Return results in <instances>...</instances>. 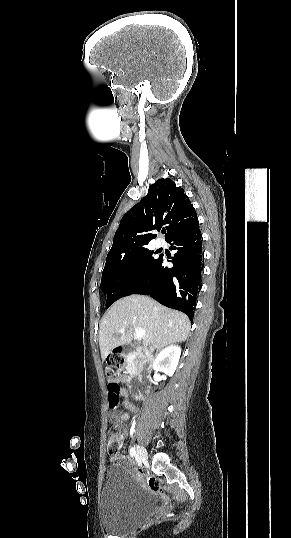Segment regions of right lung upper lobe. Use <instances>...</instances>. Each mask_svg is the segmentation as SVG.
<instances>
[{
	"mask_svg": "<svg viewBox=\"0 0 291 538\" xmlns=\"http://www.w3.org/2000/svg\"><path fill=\"white\" fill-rule=\"evenodd\" d=\"M197 221L196 211L183 189L176 187L171 179H159L122 217L106 259L146 248L155 237L151 234L154 229L165 226L168 240Z\"/></svg>",
	"mask_w": 291,
	"mask_h": 538,
	"instance_id": "cb5924a9",
	"label": "right lung upper lobe"
}]
</instances>
